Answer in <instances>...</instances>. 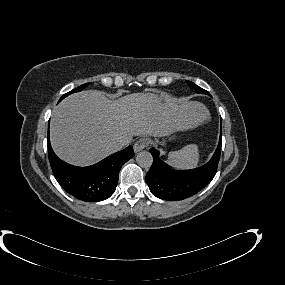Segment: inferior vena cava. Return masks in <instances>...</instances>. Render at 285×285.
Masks as SVG:
<instances>
[{
  "label": "inferior vena cava",
  "instance_id": "obj_1",
  "mask_svg": "<svg viewBox=\"0 0 285 285\" xmlns=\"http://www.w3.org/2000/svg\"><path fill=\"white\" fill-rule=\"evenodd\" d=\"M128 144V141L125 139H118L115 140L111 143L112 148L114 149V151H119L121 149H123L125 147V145Z\"/></svg>",
  "mask_w": 285,
  "mask_h": 285
}]
</instances>
